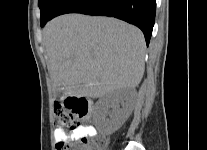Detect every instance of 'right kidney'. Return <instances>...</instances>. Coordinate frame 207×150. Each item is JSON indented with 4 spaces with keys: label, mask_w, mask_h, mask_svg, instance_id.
<instances>
[{
    "label": "right kidney",
    "mask_w": 207,
    "mask_h": 150,
    "mask_svg": "<svg viewBox=\"0 0 207 150\" xmlns=\"http://www.w3.org/2000/svg\"><path fill=\"white\" fill-rule=\"evenodd\" d=\"M132 92L130 89H118L101 97L95 106V120L102 126L106 134L117 131L131 113ZM122 104V108H120ZM112 114L108 119L109 109Z\"/></svg>",
    "instance_id": "obj_1"
}]
</instances>
